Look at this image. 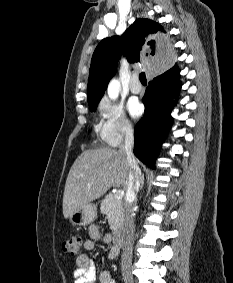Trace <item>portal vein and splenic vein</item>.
Returning a JSON list of instances; mask_svg holds the SVG:
<instances>
[{"mask_svg": "<svg viewBox=\"0 0 233 283\" xmlns=\"http://www.w3.org/2000/svg\"><path fill=\"white\" fill-rule=\"evenodd\" d=\"M123 196H124V190H118V191L115 193V198H116V199H122Z\"/></svg>", "mask_w": 233, "mask_h": 283, "instance_id": "1", "label": "portal vein and splenic vein"}]
</instances>
